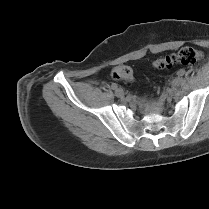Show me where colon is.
I'll return each mask as SVG.
<instances>
[{
  "label": "colon",
  "mask_w": 209,
  "mask_h": 209,
  "mask_svg": "<svg viewBox=\"0 0 209 209\" xmlns=\"http://www.w3.org/2000/svg\"><path fill=\"white\" fill-rule=\"evenodd\" d=\"M203 53L191 47H185L176 53L167 55L156 59L153 62V67L162 70L170 68L175 64L181 65H194L202 60ZM112 77L115 80L123 81L127 84H131L134 81L133 71L126 65L116 67L112 71Z\"/></svg>",
  "instance_id": "colon-1"
}]
</instances>
